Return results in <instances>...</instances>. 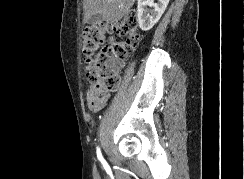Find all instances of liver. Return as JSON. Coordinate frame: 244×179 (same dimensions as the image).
<instances>
[{"label":"liver","instance_id":"liver-1","mask_svg":"<svg viewBox=\"0 0 244 179\" xmlns=\"http://www.w3.org/2000/svg\"><path fill=\"white\" fill-rule=\"evenodd\" d=\"M135 0H84V22L100 14L109 24H115L130 12Z\"/></svg>","mask_w":244,"mask_h":179}]
</instances>
